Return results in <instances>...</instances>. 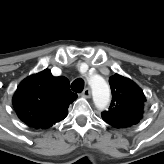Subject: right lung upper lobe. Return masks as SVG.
Returning <instances> with one entry per match:
<instances>
[{
    "label": "right lung upper lobe",
    "mask_w": 164,
    "mask_h": 164,
    "mask_svg": "<svg viewBox=\"0 0 164 164\" xmlns=\"http://www.w3.org/2000/svg\"><path fill=\"white\" fill-rule=\"evenodd\" d=\"M76 98L66 78L54 77L46 69L20 83L13 106L18 117L29 126L48 128L65 117Z\"/></svg>",
    "instance_id": "obj_1"
}]
</instances>
